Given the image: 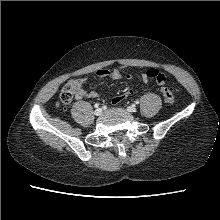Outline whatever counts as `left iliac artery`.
<instances>
[{"label":"left iliac artery","instance_id":"left-iliac-artery-1","mask_svg":"<svg viewBox=\"0 0 220 220\" xmlns=\"http://www.w3.org/2000/svg\"><path fill=\"white\" fill-rule=\"evenodd\" d=\"M135 104H139V101H138V100H136V101H135Z\"/></svg>","mask_w":220,"mask_h":220}]
</instances>
